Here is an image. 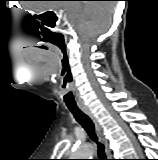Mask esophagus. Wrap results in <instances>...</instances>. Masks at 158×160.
Instances as JSON below:
<instances>
[{"instance_id": "esophagus-1", "label": "esophagus", "mask_w": 158, "mask_h": 160, "mask_svg": "<svg viewBox=\"0 0 158 160\" xmlns=\"http://www.w3.org/2000/svg\"><path fill=\"white\" fill-rule=\"evenodd\" d=\"M79 108L82 112H84L92 120L94 127L96 129L97 135H98L99 139L101 140V142L104 144L106 153L109 155L110 149L108 147V141L104 136L102 127L98 124L96 118L94 117L93 113L90 111L89 108H87L86 106H83V105H79Z\"/></svg>"}]
</instances>
